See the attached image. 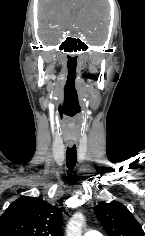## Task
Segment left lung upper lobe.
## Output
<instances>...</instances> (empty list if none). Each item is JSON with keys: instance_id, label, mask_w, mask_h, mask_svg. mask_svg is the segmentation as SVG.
<instances>
[{"instance_id": "5c2ea615", "label": "left lung upper lobe", "mask_w": 145, "mask_h": 236, "mask_svg": "<svg viewBox=\"0 0 145 236\" xmlns=\"http://www.w3.org/2000/svg\"><path fill=\"white\" fill-rule=\"evenodd\" d=\"M94 211L109 236H144L141 225L123 204L102 202Z\"/></svg>"}]
</instances>
